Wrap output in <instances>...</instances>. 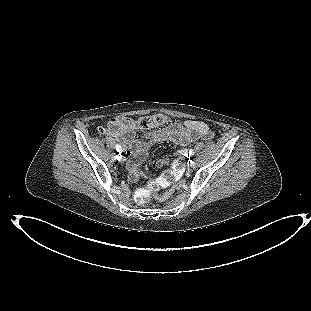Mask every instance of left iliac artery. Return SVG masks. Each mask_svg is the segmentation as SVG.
Masks as SVG:
<instances>
[{"instance_id": "obj_1", "label": "left iliac artery", "mask_w": 311, "mask_h": 311, "mask_svg": "<svg viewBox=\"0 0 311 311\" xmlns=\"http://www.w3.org/2000/svg\"><path fill=\"white\" fill-rule=\"evenodd\" d=\"M194 155V151L192 149L189 150V156H193Z\"/></svg>"}]
</instances>
